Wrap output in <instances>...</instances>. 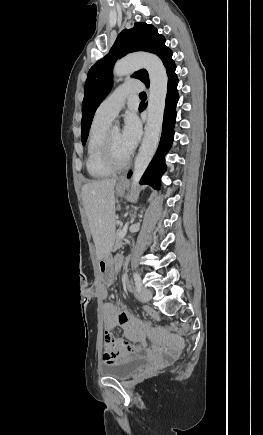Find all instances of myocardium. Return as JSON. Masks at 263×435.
<instances>
[{"label": "myocardium", "instance_id": "f54148a6", "mask_svg": "<svg viewBox=\"0 0 263 435\" xmlns=\"http://www.w3.org/2000/svg\"><path fill=\"white\" fill-rule=\"evenodd\" d=\"M110 132L111 131L108 130L104 135L101 147V158L103 163L112 171H121L130 164L131 154H128L121 162L115 158L110 140Z\"/></svg>", "mask_w": 263, "mask_h": 435}]
</instances>
